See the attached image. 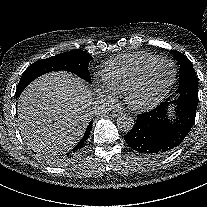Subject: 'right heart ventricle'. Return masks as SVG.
Returning a JSON list of instances; mask_svg holds the SVG:
<instances>
[{
  "label": "right heart ventricle",
  "mask_w": 207,
  "mask_h": 207,
  "mask_svg": "<svg viewBox=\"0 0 207 207\" xmlns=\"http://www.w3.org/2000/svg\"><path fill=\"white\" fill-rule=\"evenodd\" d=\"M158 56L146 52L125 55L107 63L102 70L106 90L113 98L124 97L141 71Z\"/></svg>",
  "instance_id": "e07e8e85"
}]
</instances>
